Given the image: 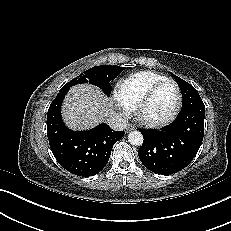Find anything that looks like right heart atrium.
Here are the masks:
<instances>
[{
	"label": "right heart atrium",
	"instance_id": "obj_1",
	"mask_svg": "<svg viewBox=\"0 0 231 231\" xmlns=\"http://www.w3.org/2000/svg\"><path fill=\"white\" fill-rule=\"evenodd\" d=\"M119 110L123 116H126L129 113L130 108L128 106L122 104L121 102H119Z\"/></svg>",
	"mask_w": 231,
	"mask_h": 231
}]
</instances>
